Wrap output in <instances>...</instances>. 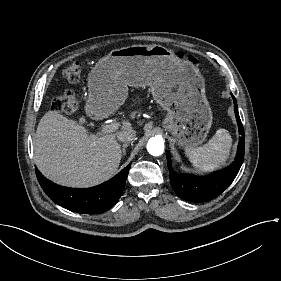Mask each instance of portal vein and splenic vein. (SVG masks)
<instances>
[{
  "label": "portal vein and splenic vein",
  "mask_w": 281,
  "mask_h": 281,
  "mask_svg": "<svg viewBox=\"0 0 281 281\" xmlns=\"http://www.w3.org/2000/svg\"><path fill=\"white\" fill-rule=\"evenodd\" d=\"M124 124V123H123ZM122 128V125L120 122L115 121L111 123H107L104 127H100L98 129V134L100 136H105L106 134L111 135L115 132L120 131Z\"/></svg>",
  "instance_id": "obj_1"
}]
</instances>
